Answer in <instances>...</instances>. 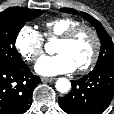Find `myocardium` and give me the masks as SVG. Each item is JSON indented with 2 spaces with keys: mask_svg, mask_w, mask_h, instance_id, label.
Wrapping results in <instances>:
<instances>
[{
  "mask_svg": "<svg viewBox=\"0 0 114 114\" xmlns=\"http://www.w3.org/2000/svg\"><path fill=\"white\" fill-rule=\"evenodd\" d=\"M83 31L88 32L92 36L93 41H94V48H93V52L89 60L85 64L77 67V70L82 73L87 72L92 67H94V65L96 64L99 58L100 51H101V40L97 31L93 27L87 24L80 23L68 29L59 38V40L69 42V41H72L79 33Z\"/></svg>",
  "mask_w": 114,
  "mask_h": 114,
  "instance_id": "obj_1",
  "label": "myocardium"
}]
</instances>
